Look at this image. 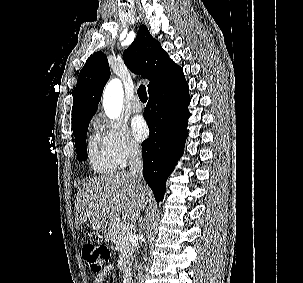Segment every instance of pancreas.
Wrapping results in <instances>:
<instances>
[{
    "instance_id": "cf45deb5",
    "label": "pancreas",
    "mask_w": 303,
    "mask_h": 283,
    "mask_svg": "<svg viewBox=\"0 0 303 283\" xmlns=\"http://www.w3.org/2000/svg\"><path fill=\"white\" fill-rule=\"evenodd\" d=\"M132 232L128 226L123 223H115L111 226L107 233V238L113 242L120 254L119 263L124 266L128 263L133 254V247L131 246L130 239Z\"/></svg>"
}]
</instances>
